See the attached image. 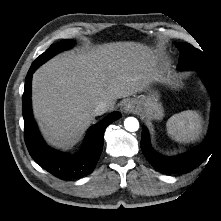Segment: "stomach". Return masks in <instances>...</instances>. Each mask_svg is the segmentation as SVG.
<instances>
[{"label": "stomach", "mask_w": 221, "mask_h": 221, "mask_svg": "<svg viewBox=\"0 0 221 221\" xmlns=\"http://www.w3.org/2000/svg\"><path fill=\"white\" fill-rule=\"evenodd\" d=\"M137 101L141 111L148 119L161 120L163 118L164 110L156 94L138 97Z\"/></svg>", "instance_id": "stomach-1"}]
</instances>
